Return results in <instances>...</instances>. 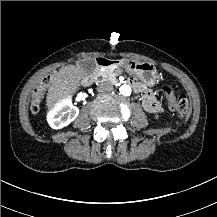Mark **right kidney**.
Returning a JSON list of instances; mask_svg holds the SVG:
<instances>
[{"label": "right kidney", "instance_id": "obj_1", "mask_svg": "<svg viewBox=\"0 0 217 217\" xmlns=\"http://www.w3.org/2000/svg\"><path fill=\"white\" fill-rule=\"evenodd\" d=\"M78 114V108L73 106L70 101H65L48 115V122L52 128L61 129L73 122Z\"/></svg>", "mask_w": 217, "mask_h": 217}]
</instances>
